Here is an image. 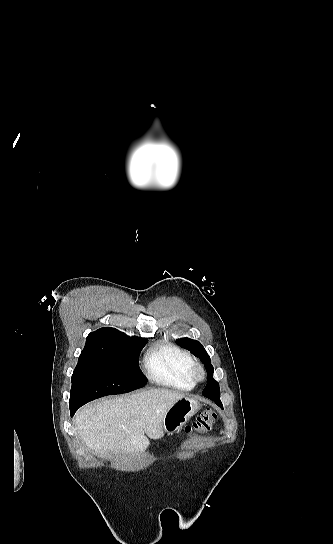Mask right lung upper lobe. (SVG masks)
<instances>
[{
  "label": "right lung upper lobe",
  "mask_w": 333,
  "mask_h": 544,
  "mask_svg": "<svg viewBox=\"0 0 333 544\" xmlns=\"http://www.w3.org/2000/svg\"><path fill=\"white\" fill-rule=\"evenodd\" d=\"M122 339L139 340L140 338H130L111 327L100 328L88 335L82 352L103 353L107 351L113 343Z\"/></svg>",
  "instance_id": "cb5924a9"
}]
</instances>
